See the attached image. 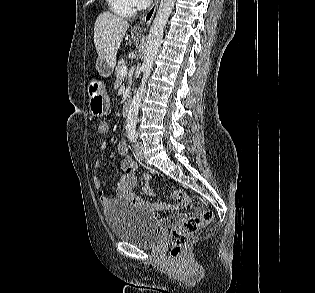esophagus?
Masks as SVG:
<instances>
[{"mask_svg": "<svg viewBox=\"0 0 315 293\" xmlns=\"http://www.w3.org/2000/svg\"><path fill=\"white\" fill-rule=\"evenodd\" d=\"M160 0H154L151 7L142 15L140 21L134 26L133 31L137 33H142L147 29L156 13Z\"/></svg>", "mask_w": 315, "mask_h": 293, "instance_id": "1", "label": "esophagus"}]
</instances>
